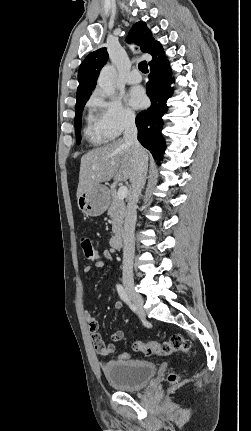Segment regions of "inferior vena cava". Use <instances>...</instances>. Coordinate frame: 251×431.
Masks as SVG:
<instances>
[{
  "instance_id": "obj_1",
  "label": "inferior vena cava",
  "mask_w": 251,
  "mask_h": 431,
  "mask_svg": "<svg viewBox=\"0 0 251 431\" xmlns=\"http://www.w3.org/2000/svg\"><path fill=\"white\" fill-rule=\"evenodd\" d=\"M124 140L130 144L134 151L135 174L132 178V193L127 205L123 230V279H133V260L135 253L134 231L137 219L136 206L144 188L147 177V160L144 149L137 139V127L134 116L129 117L125 123Z\"/></svg>"
}]
</instances>
